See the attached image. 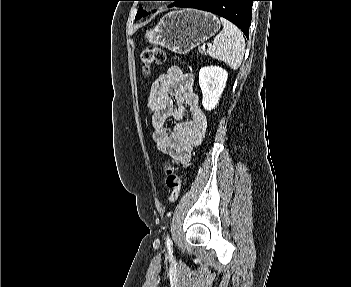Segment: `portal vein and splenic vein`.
Listing matches in <instances>:
<instances>
[{"label":"portal vein and splenic vein","mask_w":351,"mask_h":287,"mask_svg":"<svg viewBox=\"0 0 351 287\" xmlns=\"http://www.w3.org/2000/svg\"><path fill=\"white\" fill-rule=\"evenodd\" d=\"M208 46H211V44H208ZM202 48H205V46H202Z\"/></svg>","instance_id":"18ae733b"}]
</instances>
